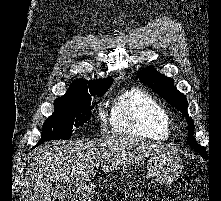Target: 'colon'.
<instances>
[{
    "label": "colon",
    "mask_w": 221,
    "mask_h": 201,
    "mask_svg": "<svg viewBox=\"0 0 221 201\" xmlns=\"http://www.w3.org/2000/svg\"><path fill=\"white\" fill-rule=\"evenodd\" d=\"M186 201H195L193 198H191V197H188L187 199H186Z\"/></svg>",
    "instance_id": "1"
}]
</instances>
